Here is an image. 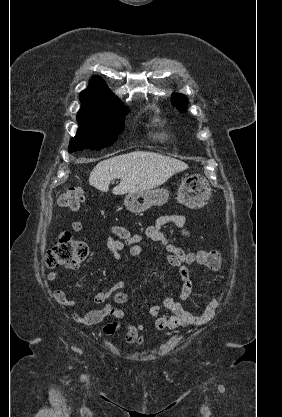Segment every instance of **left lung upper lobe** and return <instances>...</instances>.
<instances>
[{
	"mask_svg": "<svg viewBox=\"0 0 282 417\" xmlns=\"http://www.w3.org/2000/svg\"><path fill=\"white\" fill-rule=\"evenodd\" d=\"M172 103L174 106H176V108L181 111L184 112L186 111V101L187 99L185 98L184 95L182 94H173L172 95Z\"/></svg>",
	"mask_w": 282,
	"mask_h": 417,
	"instance_id": "left-lung-upper-lobe-1",
	"label": "left lung upper lobe"
}]
</instances>
